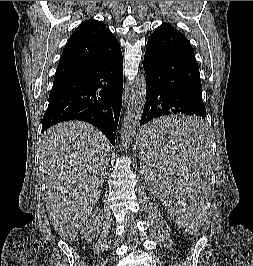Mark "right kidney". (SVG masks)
<instances>
[{"instance_id": "obj_1", "label": "right kidney", "mask_w": 253, "mask_h": 266, "mask_svg": "<svg viewBox=\"0 0 253 266\" xmlns=\"http://www.w3.org/2000/svg\"><path fill=\"white\" fill-rule=\"evenodd\" d=\"M101 221L95 219V215H91L90 219H87L82 226L81 235L87 241H91L93 238L98 237L100 233Z\"/></svg>"}]
</instances>
